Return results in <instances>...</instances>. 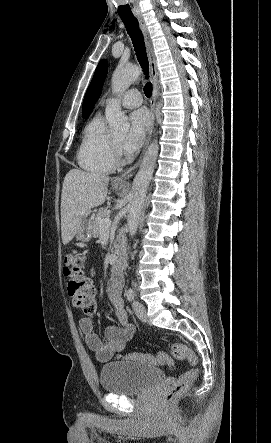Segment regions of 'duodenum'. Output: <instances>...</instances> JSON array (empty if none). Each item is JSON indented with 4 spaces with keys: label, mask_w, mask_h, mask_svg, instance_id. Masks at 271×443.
Returning a JSON list of instances; mask_svg holds the SVG:
<instances>
[{
    "label": "duodenum",
    "mask_w": 271,
    "mask_h": 443,
    "mask_svg": "<svg viewBox=\"0 0 271 443\" xmlns=\"http://www.w3.org/2000/svg\"><path fill=\"white\" fill-rule=\"evenodd\" d=\"M124 265H125V257L123 255H120L112 265L113 275L119 277L121 275V272L123 271Z\"/></svg>",
    "instance_id": "1"
}]
</instances>
